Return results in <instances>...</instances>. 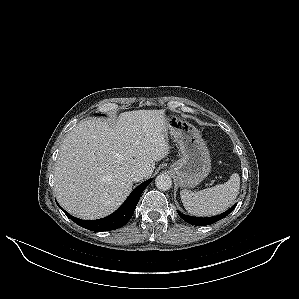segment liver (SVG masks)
<instances>
[{
    "label": "liver",
    "mask_w": 299,
    "mask_h": 299,
    "mask_svg": "<svg viewBox=\"0 0 299 299\" xmlns=\"http://www.w3.org/2000/svg\"><path fill=\"white\" fill-rule=\"evenodd\" d=\"M164 110L123 112L115 124L91 118L64 138L54 170V192L71 215L93 220L114 212L128 197L130 173L145 171L169 154Z\"/></svg>",
    "instance_id": "1"
}]
</instances>
